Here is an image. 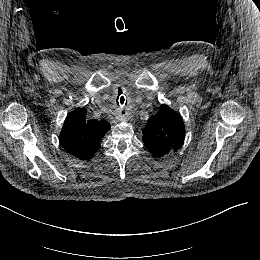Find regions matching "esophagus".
<instances>
[{"label":"esophagus","mask_w":260,"mask_h":260,"mask_svg":"<svg viewBox=\"0 0 260 260\" xmlns=\"http://www.w3.org/2000/svg\"><path fill=\"white\" fill-rule=\"evenodd\" d=\"M123 120H127V118H126V117H123Z\"/></svg>","instance_id":"obj_1"}]
</instances>
